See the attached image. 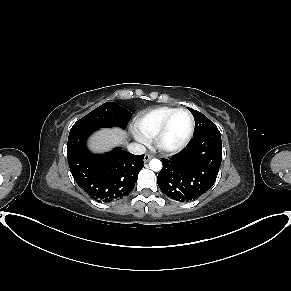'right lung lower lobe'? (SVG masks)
Returning <instances> with one entry per match:
<instances>
[{
	"label": "right lung lower lobe",
	"mask_w": 291,
	"mask_h": 291,
	"mask_svg": "<svg viewBox=\"0 0 291 291\" xmlns=\"http://www.w3.org/2000/svg\"><path fill=\"white\" fill-rule=\"evenodd\" d=\"M95 130L69 133L68 164L76 183L98 202H112L129 194L143 168L144 155H134L115 148L105 154H93L86 146Z\"/></svg>",
	"instance_id": "98d812e1"
}]
</instances>
